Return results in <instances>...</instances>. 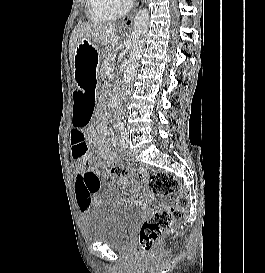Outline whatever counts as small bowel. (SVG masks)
I'll use <instances>...</instances> for the list:
<instances>
[{
	"mask_svg": "<svg viewBox=\"0 0 265 273\" xmlns=\"http://www.w3.org/2000/svg\"><path fill=\"white\" fill-rule=\"evenodd\" d=\"M87 96H95V91L74 92L73 119L71 120L73 129L70 133L71 156L77 169L76 201L83 214L91 208L100 207L103 204V198L98 194V191L101 190V169L104 163L97 162L93 165L94 158L89 152V142L86 139L94 129L93 124L87 123L94 107L91 102H96L97 98ZM101 150L106 159L112 158L111 152L105 145L101 146ZM120 184L126 186L128 182L122 178ZM123 200L122 197L117 198L118 202Z\"/></svg>",
	"mask_w": 265,
	"mask_h": 273,
	"instance_id": "1",
	"label": "small bowel"
}]
</instances>
